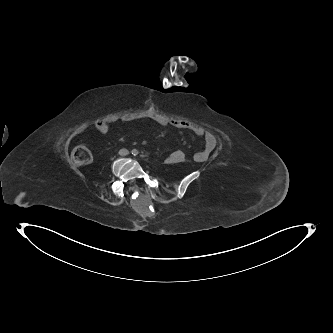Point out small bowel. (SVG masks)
<instances>
[{"label":"small bowel","mask_w":333,"mask_h":333,"mask_svg":"<svg viewBox=\"0 0 333 333\" xmlns=\"http://www.w3.org/2000/svg\"><path fill=\"white\" fill-rule=\"evenodd\" d=\"M143 118H149L152 121L156 122L157 124L161 126H172L178 129H186L191 132H193L196 136H199L203 138L204 140V146L201 150L197 151L192 158H189L187 155V161L186 162H178V161H170V162H165L167 164H179V163H189L192 160L198 163H202L208 160L210 154L214 150L216 146V137L214 136L213 133L210 131L206 130L202 126L195 124L193 122L183 120V119H173V118H168L164 115L161 114H151V115H146L143 116L141 114H132V115H127L121 119L122 122H132V121H137L141 120ZM114 121H106V120H99L96 122V129L101 132V133H107L109 132L111 128V124Z\"/></svg>","instance_id":"obj_1"}]
</instances>
